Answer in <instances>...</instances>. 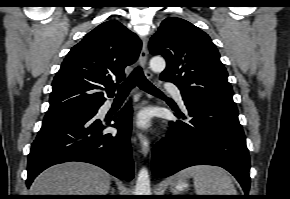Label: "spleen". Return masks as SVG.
I'll return each mask as SVG.
<instances>
[{
    "label": "spleen",
    "mask_w": 290,
    "mask_h": 199,
    "mask_svg": "<svg viewBox=\"0 0 290 199\" xmlns=\"http://www.w3.org/2000/svg\"><path fill=\"white\" fill-rule=\"evenodd\" d=\"M182 175L193 177L196 195H237L229 174L220 167L193 166L184 170Z\"/></svg>",
    "instance_id": "3e777b00"
}]
</instances>
